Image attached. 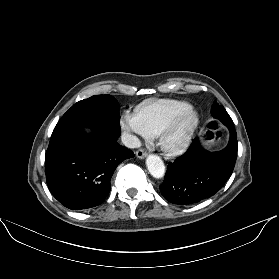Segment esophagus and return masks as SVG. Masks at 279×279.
<instances>
[{
	"label": "esophagus",
	"instance_id": "esophagus-1",
	"mask_svg": "<svg viewBox=\"0 0 279 279\" xmlns=\"http://www.w3.org/2000/svg\"><path fill=\"white\" fill-rule=\"evenodd\" d=\"M136 156H137L139 159H144V158L147 156V153H146V151H144L143 149H139V150L136 152Z\"/></svg>",
	"mask_w": 279,
	"mask_h": 279
}]
</instances>
